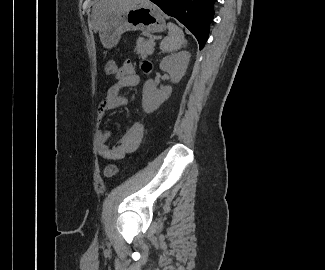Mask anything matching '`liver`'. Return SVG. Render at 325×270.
<instances>
[{"instance_id": "1", "label": "liver", "mask_w": 325, "mask_h": 270, "mask_svg": "<svg viewBox=\"0 0 325 270\" xmlns=\"http://www.w3.org/2000/svg\"><path fill=\"white\" fill-rule=\"evenodd\" d=\"M143 0H96L92 9V29L96 33L112 14L136 5Z\"/></svg>"}]
</instances>
